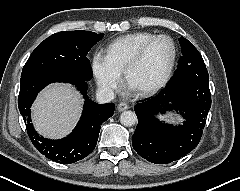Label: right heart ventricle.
I'll list each match as a JSON object with an SVG mask.
<instances>
[{"label":"right heart ventricle","mask_w":240,"mask_h":191,"mask_svg":"<svg viewBox=\"0 0 240 191\" xmlns=\"http://www.w3.org/2000/svg\"><path fill=\"white\" fill-rule=\"evenodd\" d=\"M153 36L155 34L151 32H136L121 36L108 44L107 56L113 65L123 72L141 46Z\"/></svg>","instance_id":"obj_1"}]
</instances>
